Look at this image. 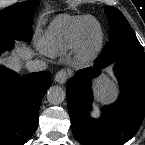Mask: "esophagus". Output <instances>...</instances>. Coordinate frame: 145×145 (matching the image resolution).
I'll return each mask as SVG.
<instances>
[{
    "instance_id": "34e87169",
    "label": "esophagus",
    "mask_w": 145,
    "mask_h": 145,
    "mask_svg": "<svg viewBox=\"0 0 145 145\" xmlns=\"http://www.w3.org/2000/svg\"><path fill=\"white\" fill-rule=\"evenodd\" d=\"M68 79V74L65 70H60L59 72L56 73L55 75V81L58 84H64Z\"/></svg>"
}]
</instances>
